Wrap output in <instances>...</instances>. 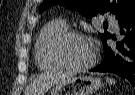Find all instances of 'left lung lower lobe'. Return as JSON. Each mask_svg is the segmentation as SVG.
<instances>
[{
  "label": "left lung lower lobe",
  "mask_w": 135,
  "mask_h": 95,
  "mask_svg": "<svg viewBox=\"0 0 135 95\" xmlns=\"http://www.w3.org/2000/svg\"><path fill=\"white\" fill-rule=\"evenodd\" d=\"M118 23L123 38L115 44L107 43V39L116 40L115 35L109 34L104 38V58L90 71L114 73L135 86V12Z\"/></svg>",
  "instance_id": "obj_1"
}]
</instances>
